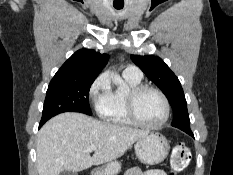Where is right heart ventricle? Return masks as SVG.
<instances>
[{"mask_svg":"<svg viewBox=\"0 0 233 175\" xmlns=\"http://www.w3.org/2000/svg\"><path fill=\"white\" fill-rule=\"evenodd\" d=\"M126 88L110 89L97 104L99 117L117 127H131L134 124L128 117L126 111V96L128 91L141 84V79L124 75Z\"/></svg>","mask_w":233,"mask_h":175,"instance_id":"1","label":"right heart ventricle"}]
</instances>
